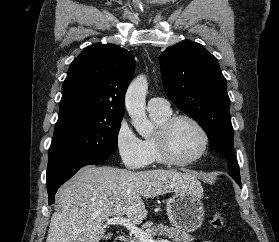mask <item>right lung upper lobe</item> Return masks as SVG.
I'll return each instance as SVG.
<instances>
[{
	"label": "right lung upper lobe",
	"instance_id": "obj_1",
	"mask_svg": "<svg viewBox=\"0 0 279 242\" xmlns=\"http://www.w3.org/2000/svg\"><path fill=\"white\" fill-rule=\"evenodd\" d=\"M134 55L114 44H94L71 63L63 83L60 114L84 110L123 117L125 92L135 70Z\"/></svg>",
	"mask_w": 279,
	"mask_h": 242
}]
</instances>
